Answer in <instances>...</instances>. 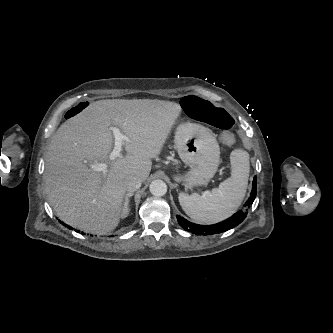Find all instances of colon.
<instances>
[{"instance_id":"5ec220e1","label":"colon","mask_w":333,"mask_h":333,"mask_svg":"<svg viewBox=\"0 0 333 333\" xmlns=\"http://www.w3.org/2000/svg\"><path fill=\"white\" fill-rule=\"evenodd\" d=\"M182 106L191 118L221 130H230L234 124L232 117L226 110L216 107L200 96L189 95L184 97ZM86 108L87 103L81 102L67 112L66 118L71 119L82 113ZM235 131L238 133L240 130L237 128Z\"/></svg>"}]
</instances>
